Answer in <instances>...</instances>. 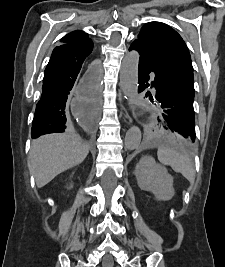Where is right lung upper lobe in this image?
Masks as SVG:
<instances>
[{
  "instance_id": "1",
  "label": "right lung upper lobe",
  "mask_w": 225,
  "mask_h": 267,
  "mask_svg": "<svg viewBox=\"0 0 225 267\" xmlns=\"http://www.w3.org/2000/svg\"><path fill=\"white\" fill-rule=\"evenodd\" d=\"M62 44H91L93 42L88 37V35L80 30L73 31L67 35H65L61 40Z\"/></svg>"
}]
</instances>
